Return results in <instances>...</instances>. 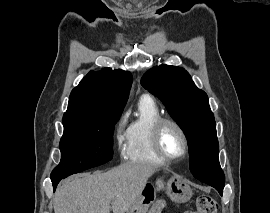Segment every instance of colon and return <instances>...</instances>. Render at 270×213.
Returning <instances> with one entry per match:
<instances>
[{"label": "colon", "mask_w": 270, "mask_h": 213, "mask_svg": "<svg viewBox=\"0 0 270 213\" xmlns=\"http://www.w3.org/2000/svg\"><path fill=\"white\" fill-rule=\"evenodd\" d=\"M217 203L208 195H200L196 200V207L194 211L188 213H216Z\"/></svg>", "instance_id": "obj_1"}]
</instances>
